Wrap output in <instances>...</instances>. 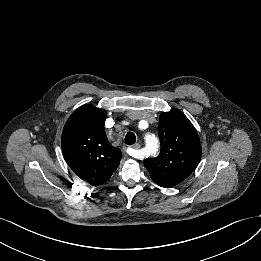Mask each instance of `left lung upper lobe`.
Here are the masks:
<instances>
[{"instance_id":"1","label":"left lung upper lobe","mask_w":261,"mask_h":261,"mask_svg":"<svg viewBox=\"0 0 261 261\" xmlns=\"http://www.w3.org/2000/svg\"><path fill=\"white\" fill-rule=\"evenodd\" d=\"M158 157L144 160L151 178L161 187H173L186 179L201 158L199 136L188 118L179 110L160 114Z\"/></svg>"}]
</instances>
